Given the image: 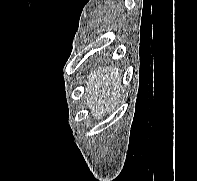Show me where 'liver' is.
Masks as SVG:
<instances>
[{
  "instance_id": "obj_1",
  "label": "liver",
  "mask_w": 197,
  "mask_h": 181,
  "mask_svg": "<svg viewBox=\"0 0 197 181\" xmlns=\"http://www.w3.org/2000/svg\"><path fill=\"white\" fill-rule=\"evenodd\" d=\"M121 71L115 66H99L87 76L85 99L91 113L102 117L111 113L121 96Z\"/></svg>"
}]
</instances>
